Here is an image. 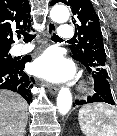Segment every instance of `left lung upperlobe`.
Here are the masks:
<instances>
[{"instance_id":"left-lung-upper-lobe-1","label":"left lung upper lobe","mask_w":117,"mask_h":136,"mask_svg":"<svg viewBox=\"0 0 117 136\" xmlns=\"http://www.w3.org/2000/svg\"><path fill=\"white\" fill-rule=\"evenodd\" d=\"M62 2L72 9L73 22L78 44L70 46L73 58L81 62L93 74L109 79L106 65V53L103 45L99 17L90 0H53L51 5Z\"/></svg>"}]
</instances>
